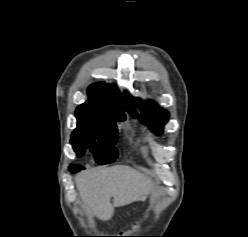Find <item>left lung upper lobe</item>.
<instances>
[{"instance_id": "5c2ea615", "label": "left lung upper lobe", "mask_w": 248, "mask_h": 237, "mask_svg": "<svg viewBox=\"0 0 248 237\" xmlns=\"http://www.w3.org/2000/svg\"><path fill=\"white\" fill-rule=\"evenodd\" d=\"M125 101L127 105L128 111L135 117L137 116V112L132 108V98L129 94L125 93ZM140 105L143 106V113L150 111V116L148 119L141 118L142 122L149 126V128L154 132H162L163 125L166 123L169 113L165 110L159 108L152 101L142 102L140 101Z\"/></svg>"}]
</instances>
